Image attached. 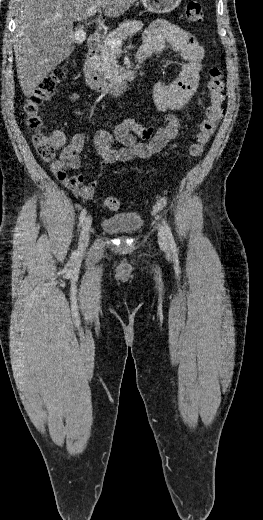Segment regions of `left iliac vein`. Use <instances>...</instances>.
I'll list each match as a JSON object with an SVG mask.
<instances>
[{
  "label": "left iliac vein",
  "instance_id": "left-iliac-vein-1",
  "mask_svg": "<svg viewBox=\"0 0 263 520\" xmlns=\"http://www.w3.org/2000/svg\"><path fill=\"white\" fill-rule=\"evenodd\" d=\"M158 240H159V243L162 246H167L168 245V237H167L166 231L161 226L158 229Z\"/></svg>",
  "mask_w": 263,
  "mask_h": 520
}]
</instances>
